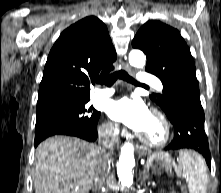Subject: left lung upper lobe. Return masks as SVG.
<instances>
[{"instance_id": "obj_1", "label": "left lung upper lobe", "mask_w": 221, "mask_h": 193, "mask_svg": "<svg viewBox=\"0 0 221 193\" xmlns=\"http://www.w3.org/2000/svg\"><path fill=\"white\" fill-rule=\"evenodd\" d=\"M132 46L147 56L145 71L156 75L163 83V94L150 98L173 118V92L180 88H197L196 69L189 47L178 30L160 21L146 22L137 32Z\"/></svg>"}]
</instances>
